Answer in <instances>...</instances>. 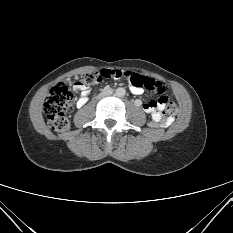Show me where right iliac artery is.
Here are the masks:
<instances>
[{
	"instance_id": "obj_1",
	"label": "right iliac artery",
	"mask_w": 233,
	"mask_h": 233,
	"mask_svg": "<svg viewBox=\"0 0 233 233\" xmlns=\"http://www.w3.org/2000/svg\"><path fill=\"white\" fill-rule=\"evenodd\" d=\"M135 103H136V105H139V101H136Z\"/></svg>"
}]
</instances>
